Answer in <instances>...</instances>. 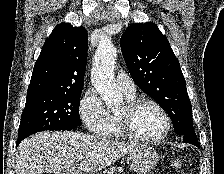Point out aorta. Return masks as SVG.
<instances>
[{
  "label": "aorta",
  "instance_id": "obj_1",
  "mask_svg": "<svg viewBox=\"0 0 224 174\" xmlns=\"http://www.w3.org/2000/svg\"><path fill=\"white\" fill-rule=\"evenodd\" d=\"M116 58L117 50L112 44L100 43L91 71V81L108 107L118 106L123 101V96L114 79Z\"/></svg>",
  "mask_w": 224,
  "mask_h": 174
}]
</instances>
